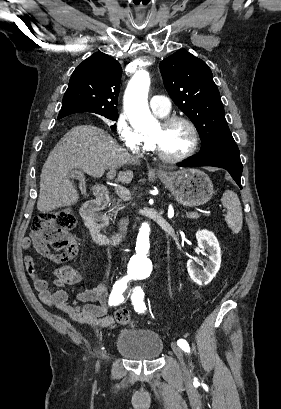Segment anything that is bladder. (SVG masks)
<instances>
[{"mask_svg":"<svg viewBox=\"0 0 281 409\" xmlns=\"http://www.w3.org/2000/svg\"><path fill=\"white\" fill-rule=\"evenodd\" d=\"M114 351L128 360L152 362L164 352V338L153 329H121L113 341Z\"/></svg>","mask_w":281,"mask_h":409,"instance_id":"1","label":"bladder"}]
</instances>
